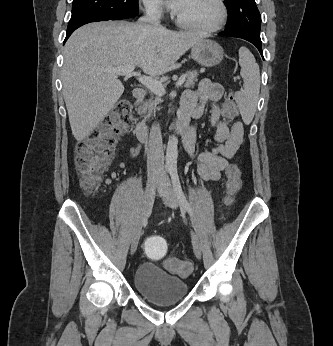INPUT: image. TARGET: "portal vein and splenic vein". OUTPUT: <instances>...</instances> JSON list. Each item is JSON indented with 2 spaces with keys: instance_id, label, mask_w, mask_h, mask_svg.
Here are the masks:
<instances>
[{
  "instance_id": "1",
  "label": "portal vein and splenic vein",
  "mask_w": 333,
  "mask_h": 346,
  "mask_svg": "<svg viewBox=\"0 0 333 346\" xmlns=\"http://www.w3.org/2000/svg\"><path fill=\"white\" fill-rule=\"evenodd\" d=\"M135 66L134 65H128L124 67H117V68H107L105 71L111 75L114 76H137L138 81L144 85L147 89L152 91L154 94L158 96H162L165 94V88L163 84L159 81H156L152 79L151 77L147 76H141L134 72ZM186 80V76L182 75L178 81L176 82V87L181 86Z\"/></svg>"
}]
</instances>
